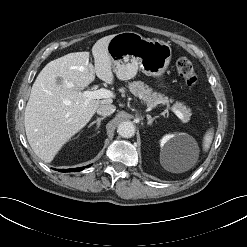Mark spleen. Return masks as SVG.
Instances as JSON below:
<instances>
[{
	"label": "spleen",
	"instance_id": "spleen-1",
	"mask_svg": "<svg viewBox=\"0 0 247 247\" xmlns=\"http://www.w3.org/2000/svg\"><path fill=\"white\" fill-rule=\"evenodd\" d=\"M214 136L213 128H210L203 137V150L207 151L210 148ZM182 171V169H180Z\"/></svg>",
	"mask_w": 247,
	"mask_h": 247
}]
</instances>
